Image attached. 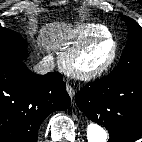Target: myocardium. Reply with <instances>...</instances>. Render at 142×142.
<instances>
[{"label":"myocardium","instance_id":"myocardium-1","mask_svg":"<svg viewBox=\"0 0 142 142\" xmlns=\"http://www.w3.org/2000/svg\"><path fill=\"white\" fill-rule=\"evenodd\" d=\"M110 42L112 44V52L109 58L100 66L93 69H82L77 66L78 59L92 46L100 42ZM118 55V44L112 35L95 36L89 38L76 47L68 51L62 58L63 69L70 75L82 79L91 80L103 75L114 64Z\"/></svg>","mask_w":142,"mask_h":142}]
</instances>
